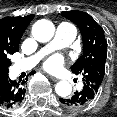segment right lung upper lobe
<instances>
[{
    "mask_svg": "<svg viewBox=\"0 0 117 117\" xmlns=\"http://www.w3.org/2000/svg\"><path fill=\"white\" fill-rule=\"evenodd\" d=\"M33 18L34 15H28L0 20V82L8 76L4 68V64L10 62L8 56L19 51L20 39Z\"/></svg>",
    "mask_w": 117,
    "mask_h": 117,
    "instance_id": "cb5924a9",
    "label": "right lung upper lobe"
}]
</instances>
